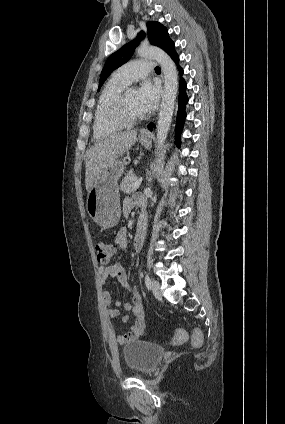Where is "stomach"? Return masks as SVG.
<instances>
[{"mask_svg": "<svg viewBox=\"0 0 285 424\" xmlns=\"http://www.w3.org/2000/svg\"><path fill=\"white\" fill-rule=\"evenodd\" d=\"M139 142L146 148L151 146V139L139 137ZM125 161L116 160L110 163L87 191L86 210L89 216L102 228H111L119 222L120 195L118 180L124 173Z\"/></svg>", "mask_w": 285, "mask_h": 424, "instance_id": "stomach-1", "label": "stomach"}]
</instances>
